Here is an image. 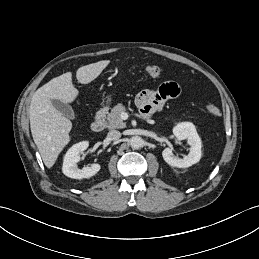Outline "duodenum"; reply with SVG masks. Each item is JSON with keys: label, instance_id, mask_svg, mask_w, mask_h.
<instances>
[{"label": "duodenum", "instance_id": "duodenum-1", "mask_svg": "<svg viewBox=\"0 0 259 259\" xmlns=\"http://www.w3.org/2000/svg\"><path fill=\"white\" fill-rule=\"evenodd\" d=\"M105 114H106V107H99L95 114L94 119L91 124V128L95 132H100L103 130L105 125Z\"/></svg>", "mask_w": 259, "mask_h": 259}]
</instances>
